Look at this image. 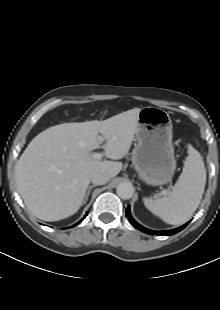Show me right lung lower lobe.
<instances>
[{"label": "right lung lower lobe", "mask_w": 220, "mask_h": 310, "mask_svg": "<svg viewBox=\"0 0 220 310\" xmlns=\"http://www.w3.org/2000/svg\"><path fill=\"white\" fill-rule=\"evenodd\" d=\"M86 215H87V214H86ZM85 217H86V216H84V218H85ZM84 218H83V219H84ZM83 219H82V220H83ZM82 220H81V221H82ZM81 221H79V222H78V223H76L75 225L79 224ZM75 225H74V226H75Z\"/></svg>", "instance_id": "98d812e1"}]
</instances>
